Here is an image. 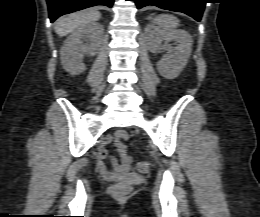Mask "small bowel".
<instances>
[{
  "instance_id": "1",
  "label": "small bowel",
  "mask_w": 260,
  "mask_h": 217,
  "mask_svg": "<svg viewBox=\"0 0 260 217\" xmlns=\"http://www.w3.org/2000/svg\"><path fill=\"white\" fill-rule=\"evenodd\" d=\"M127 137L126 132L118 131L114 136H107L97 150V169L103 178L113 180L117 176L126 175L131 167L132 156L127 153L123 139ZM113 143L117 149L118 158L110 157L112 169H108L103 160L108 157L106 146Z\"/></svg>"
}]
</instances>
